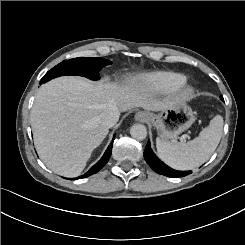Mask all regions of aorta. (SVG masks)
<instances>
[{
  "mask_svg": "<svg viewBox=\"0 0 245 245\" xmlns=\"http://www.w3.org/2000/svg\"><path fill=\"white\" fill-rule=\"evenodd\" d=\"M130 134L134 139L144 140L147 136V130L142 124H134L130 129Z\"/></svg>",
  "mask_w": 245,
  "mask_h": 245,
  "instance_id": "obj_1",
  "label": "aorta"
}]
</instances>
